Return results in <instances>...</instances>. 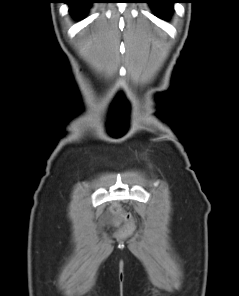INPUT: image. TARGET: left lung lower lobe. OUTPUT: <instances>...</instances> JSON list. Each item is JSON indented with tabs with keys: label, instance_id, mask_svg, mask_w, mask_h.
<instances>
[{
	"label": "left lung lower lobe",
	"instance_id": "obj_1",
	"mask_svg": "<svg viewBox=\"0 0 239 296\" xmlns=\"http://www.w3.org/2000/svg\"><path fill=\"white\" fill-rule=\"evenodd\" d=\"M153 8L154 11L161 17L170 15L173 3H178V0H146Z\"/></svg>",
	"mask_w": 239,
	"mask_h": 296
}]
</instances>
